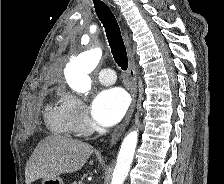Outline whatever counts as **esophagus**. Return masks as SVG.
<instances>
[{
    "instance_id": "esophagus-1",
    "label": "esophagus",
    "mask_w": 224,
    "mask_h": 184,
    "mask_svg": "<svg viewBox=\"0 0 224 184\" xmlns=\"http://www.w3.org/2000/svg\"><path fill=\"white\" fill-rule=\"evenodd\" d=\"M126 45H127L128 57H129V66H128V74L130 78L129 90L132 95V102L123 122L115 129L114 133L111 136L110 147H112L113 145L117 143L118 139L123 134L126 127L128 126L131 120L132 114L134 112L135 105H136L137 78H136V70H135V63H134V51L132 50L127 38H126Z\"/></svg>"
}]
</instances>
